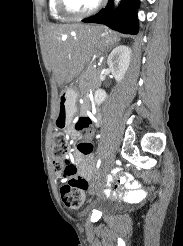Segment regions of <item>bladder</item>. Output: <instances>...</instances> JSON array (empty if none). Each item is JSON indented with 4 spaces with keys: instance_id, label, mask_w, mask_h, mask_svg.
<instances>
[{
    "instance_id": "31cf9c89",
    "label": "bladder",
    "mask_w": 183,
    "mask_h": 246,
    "mask_svg": "<svg viewBox=\"0 0 183 246\" xmlns=\"http://www.w3.org/2000/svg\"><path fill=\"white\" fill-rule=\"evenodd\" d=\"M98 207L104 214L111 213L116 209L115 204L110 201L99 203Z\"/></svg>"
}]
</instances>
